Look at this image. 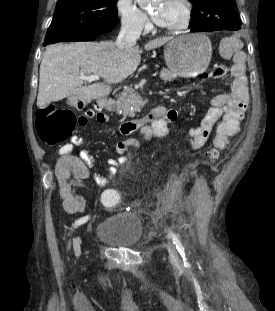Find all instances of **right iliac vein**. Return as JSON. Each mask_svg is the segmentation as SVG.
<instances>
[{
	"label": "right iliac vein",
	"mask_w": 275,
	"mask_h": 311,
	"mask_svg": "<svg viewBox=\"0 0 275 311\" xmlns=\"http://www.w3.org/2000/svg\"><path fill=\"white\" fill-rule=\"evenodd\" d=\"M73 245H74L75 254H76V255H79V253H80V238H79V237H77V238L75 239Z\"/></svg>",
	"instance_id": "63e3f726"
}]
</instances>
